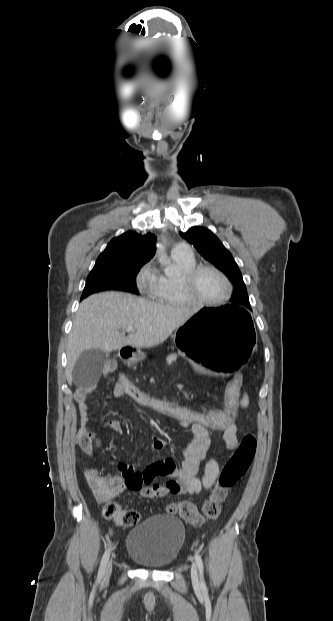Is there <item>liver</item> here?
Listing matches in <instances>:
<instances>
[{"mask_svg": "<svg viewBox=\"0 0 333 621\" xmlns=\"http://www.w3.org/2000/svg\"><path fill=\"white\" fill-rule=\"evenodd\" d=\"M194 312L166 306L122 292H104L83 300L67 342L66 378L72 384L73 367L91 349L106 353L124 346L151 348L163 343ZM133 327L126 337L124 330Z\"/></svg>", "mask_w": 333, "mask_h": 621, "instance_id": "1", "label": "liver"}]
</instances>
